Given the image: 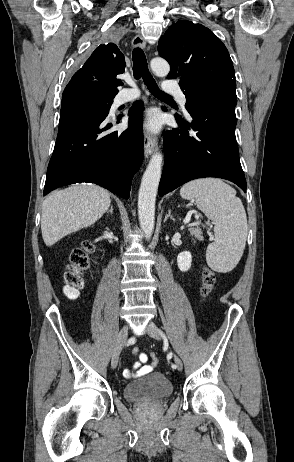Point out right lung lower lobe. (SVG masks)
Segmentation results:
<instances>
[{"mask_svg": "<svg viewBox=\"0 0 294 462\" xmlns=\"http://www.w3.org/2000/svg\"><path fill=\"white\" fill-rule=\"evenodd\" d=\"M142 109V101L133 104L124 132H108L112 125L104 114L61 121L43 195L61 186L90 182L127 199L143 159Z\"/></svg>", "mask_w": 294, "mask_h": 462, "instance_id": "obj_1", "label": "right lung lower lobe"}]
</instances>
